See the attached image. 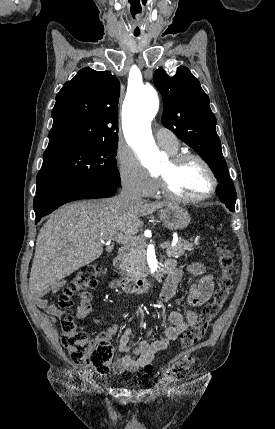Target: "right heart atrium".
<instances>
[{
  "mask_svg": "<svg viewBox=\"0 0 275 429\" xmlns=\"http://www.w3.org/2000/svg\"><path fill=\"white\" fill-rule=\"evenodd\" d=\"M118 171L120 181L131 193L146 196L152 193L156 183L127 153H118Z\"/></svg>",
  "mask_w": 275,
  "mask_h": 429,
  "instance_id": "obj_1",
  "label": "right heart atrium"
}]
</instances>
